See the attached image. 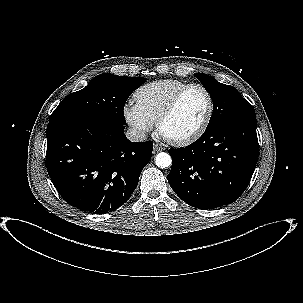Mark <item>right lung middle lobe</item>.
<instances>
[{"label": "right lung middle lobe", "mask_w": 303, "mask_h": 303, "mask_svg": "<svg viewBox=\"0 0 303 303\" xmlns=\"http://www.w3.org/2000/svg\"><path fill=\"white\" fill-rule=\"evenodd\" d=\"M146 78L110 73L94 77L88 85L67 95L49 118V123L74 119H101L125 125L123 109L127 98Z\"/></svg>", "instance_id": "1"}]
</instances>
